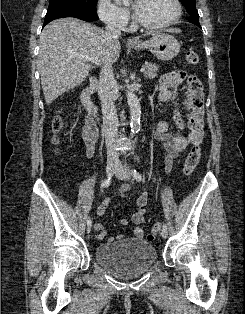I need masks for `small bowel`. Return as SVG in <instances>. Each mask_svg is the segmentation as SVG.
Instances as JSON below:
<instances>
[{
  "label": "small bowel",
  "instance_id": "small-bowel-1",
  "mask_svg": "<svg viewBox=\"0 0 245 314\" xmlns=\"http://www.w3.org/2000/svg\"><path fill=\"white\" fill-rule=\"evenodd\" d=\"M178 92L181 93V106L178 103ZM157 98L162 103H172L173 116L171 121L158 122L154 131V138L159 141L163 148V158L165 170L169 173L174 161L186 150L190 145L199 144L204 136L205 126L203 120V87L199 79L191 74L182 71H172L163 75L157 89ZM171 128L174 130L171 131ZM188 128L187 134L183 133V129ZM82 139L86 147V155L89 159L94 156L95 146L98 141L97 130L90 120L86 119L85 125L82 128ZM130 184H123L121 187V196L126 198V193L130 190ZM148 192L144 190L137 198V210L131 215L130 219H122V225L132 223L133 237L142 239L144 229L142 224L145 221L147 212ZM107 207V202H104L98 209V215H102ZM98 231L97 238L104 239L106 236L105 227L101 223L94 225ZM123 234L112 236L108 242H115L123 239Z\"/></svg>",
  "mask_w": 245,
  "mask_h": 314
}]
</instances>
